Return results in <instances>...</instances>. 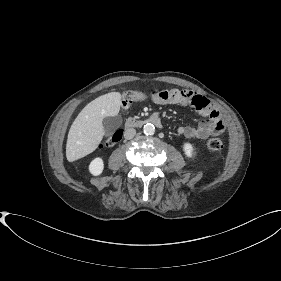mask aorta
I'll list each match as a JSON object with an SVG mask.
<instances>
[{"mask_svg": "<svg viewBox=\"0 0 281 281\" xmlns=\"http://www.w3.org/2000/svg\"><path fill=\"white\" fill-rule=\"evenodd\" d=\"M143 132L145 135H153L155 132V126L151 123H147L143 127Z\"/></svg>", "mask_w": 281, "mask_h": 281, "instance_id": "1", "label": "aorta"}]
</instances>
